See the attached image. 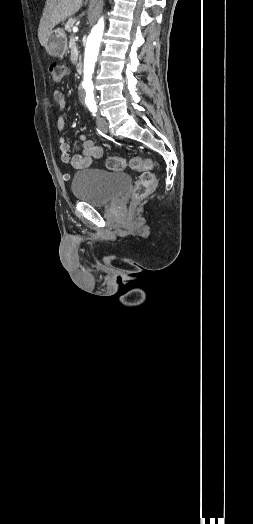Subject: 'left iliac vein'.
<instances>
[{
    "label": "left iliac vein",
    "mask_w": 253,
    "mask_h": 524,
    "mask_svg": "<svg viewBox=\"0 0 253 524\" xmlns=\"http://www.w3.org/2000/svg\"><path fill=\"white\" fill-rule=\"evenodd\" d=\"M96 122L100 131L104 133L108 131V121L104 117L98 115L96 118Z\"/></svg>",
    "instance_id": "1"
}]
</instances>
